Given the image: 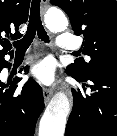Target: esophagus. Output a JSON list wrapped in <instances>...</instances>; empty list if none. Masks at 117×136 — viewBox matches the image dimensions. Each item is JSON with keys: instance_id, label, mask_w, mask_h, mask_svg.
Wrapping results in <instances>:
<instances>
[{"instance_id": "34e87169", "label": "esophagus", "mask_w": 117, "mask_h": 136, "mask_svg": "<svg viewBox=\"0 0 117 136\" xmlns=\"http://www.w3.org/2000/svg\"><path fill=\"white\" fill-rule=\"evenodd\" d=\"M42 4L45 5L47 3V0H41ZM53 92L48 88H43V97L44 102L47 104L52 96Z\"/></svg>"}]
</instances>
